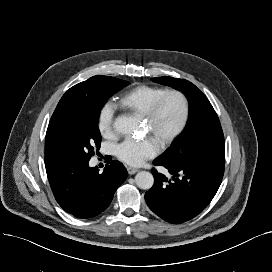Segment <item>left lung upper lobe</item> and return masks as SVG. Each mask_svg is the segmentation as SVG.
Segmentation results:
<instances>
[{"mask_svg":"<svg viewBox=\"0 0 272 272\" xmlns=\"http://www.w3.org/2000/svg\"><path fill=\"white\" fill-rule=\"evenodd\" d=\"M152 80L182 91L190 103V116L185 130L157 159L169 162L225 159L223 131L207 97L184 79L156 77Z\"/></svg>","mask_w":272,"mask_h":272,"instance_id":"left-lung-upper-lobe-1","label":"left lung upper lobe"}]
</instances>
